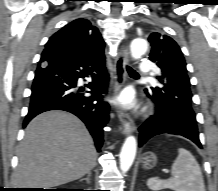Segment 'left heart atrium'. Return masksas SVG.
<instances>
[{
	"mask_svg": "<svg viewBox=\"0 0 218 191\" xmlns=\"http://www.w3.org/2000/svg\"><path fill=\"white\" fill-rule=\"evenodd\" d=\"M117 103L124 107H132L135 104V98L133 93L130 90H124L122 91L117 97H116Z\"/></svg>",
	"mask_w": 218,
	"mask_h": 191,
	"instance_id": "39dd6f15",
	"label": "left heart atrium"
}]
</instances>
